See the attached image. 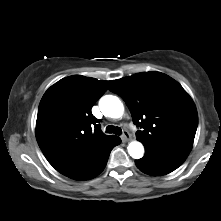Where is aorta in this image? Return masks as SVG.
I'll list each match as a JSON object with an SVG mask.
<instances>
[{
	"instance_id": "762f6f07",
	"label": "aorta",
	"mask_w": 221,
	"mask_h": 221,
	"mask_svg": "<svg viewBox=\"0 0 221 221\" xmlns=\"http://www.w3.org/2000/svg\"><path fill=\"white\" fill-rule=\"evenodd\" d=\"M99 107L105 116L120 118L124 113V106L120 99L113 95H105L99 101ZM128 153L134 159L144 155V147L139 141H132L128 145Z\"/></svg>"
}]
</instances>
